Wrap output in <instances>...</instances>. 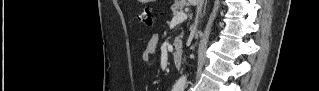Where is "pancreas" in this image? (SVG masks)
<instances>
[{
  "mask_svg": "<svg viewBox=\"0 0 319 91\" xmlns=\"http://www.w3.org/2000/svg\"><path fill=\"white\" fill-rule=\"evenodd\" d=\"M181 2V1H179ZM185 6V3H175L172 7H171V10L173 12V14H176L177 12H180L183 10ZM174 45L175 46H178V47H181L182 46V42L179 38H176L175 41H174Z\"/></svg>",
  "mask_w": 319,
  "mask_h": 91,
  "instance_id": "cf45deb5",
  "label": "pancreas"
}]
</instances>
